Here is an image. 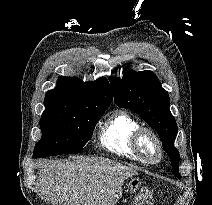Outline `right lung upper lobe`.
<instances>
[{
	"instance_id": "cb5924a9",
	"label": "right lung upper lobe",
	"mask_w": 212,
	"mask_h": 205,
	"mask_svg": "<svg viewBox=\"0 0 212 205\" xmlns=\"http://www.w3.org/2000/svg\"><path fill=\"white\" fill-rule=\"evenodd\" d=\"M112 90L106 78L83 82L75 77L61 76L57 87L45 95L43 114L53 115L75 107L110 105Z\"/></svg>"
}]
</instances>
